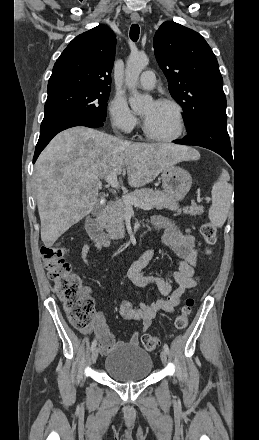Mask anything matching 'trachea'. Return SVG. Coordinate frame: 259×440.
Wrapping results in <instances>:
<instances>
[{
  "instance_id": "obj_1",
  "label": "trachea",
  "mask_w": 259,
  "mask_h": 440,
  "mask_svg": "<svg viewBox=\"0 0 259 440\" xmlns=\"http://www.w3.org/2000/svg\"><path fill=\"white\" fill-rule=\"evenodd\" d=\"M140 28L138 24H133L130 28V38L132 41H137L139 39Z\"/></svg>"
}]
</instances>
